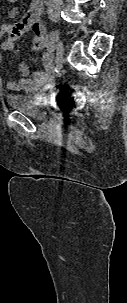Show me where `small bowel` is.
<instances>
[{"label": "small bowel", "mask_w": 127, "mask_h": 303, "mask_svg": "<svg viewBox=\"0 0 127 303\" xmlns=\"http://www.w3.org/2000/svg\"><path fill=\"white\" fill-rule=\"evenodd\" d=\"M14 3L17 0H7ZM43 5L41 0H31L28 10L24 16L17 22L0 25V46L2 50H12L13 41L22 34L32 31L33 49L36 51L44 50L47 46L45 28L41 23ZM9 36L8 40L2 41L4 36ZM2 62V53L0 52V63ZM43 71L30 73L29 67L22 61L18 67L20 78L8 80L7 88L11 91H32L37 85H49L52 81L54 72L53 55L49 50L43 52L41 57Z\"/></svg>", "instance_id": "c3829d8e"}]
</instances>
